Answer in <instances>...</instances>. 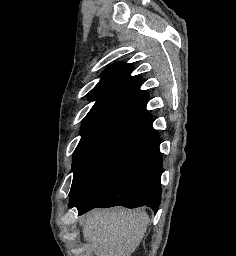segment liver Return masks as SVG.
<instances>
[{
    "label": "liver",
    "instance_id": "1",
    "mask_svg": "<svg viewBox=\"0 0 236 256\" xmlns=\"http://www.w3.org/2000/svg\"><path fill=\"white\" fill-rule=\"evenodd\" d=\"M149 216L144 210H92L79 216V226L94 256H131L143 240Z\"/></svg>",
    "mask_w": 236,
    "mask_h": 256
}]
</instances>
